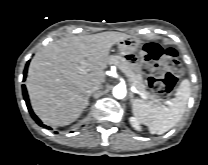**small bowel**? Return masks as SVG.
<instances>
[{
  "instance_id": "small-bowel-1",
  "label": "small bowel",
  "mask_w": 208,
  "mask_h": 165,
  "mask_svg": "<svg viewBox=\"0 0 208 165\" xmlns=\"http://www.w3.org/2000/svg\"><path fill=\"white\" fill-rule=\"evenodd\" d=\"M124 61L133 70H140L142 68V60L138 58L133 52L127 51L123 55Z\"/></svg>"
}]
</instances>
